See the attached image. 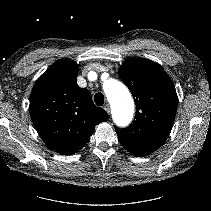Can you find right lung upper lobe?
Masks as SVG:
<instances>
[{"label": "right lung upper lobe", "instance_id": "1", "mask_svg": "<svg viewBox=\"0 0 211 211\" xmlns=\"http://www.w3.org/2000/svg\"><path fill=\"white\" fill-rule=\"evenodd\" d=\"M79 66L68 59L52 64L30 94V116L42 140L63 155L78 152L95 126L109 115L92 101L88 89L76 83Z\"/></svg>", "mask_w": 211, "mask_h": 211}]
</instances>
